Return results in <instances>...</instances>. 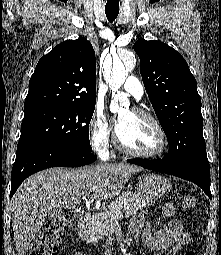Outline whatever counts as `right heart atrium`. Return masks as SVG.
I'll return each mask as SVG.
<instances>
[{"label": "right heart atrium", "mask_w": 221, "mask_h": 255, "mask_svg": "<svg viewBox=\"0 0 221 255\" xmlns=\"http://www.w3.org/2000/svg\"><path fill=\"white\" fill-rule=\"evenodd\" d=\"M88 131L92 148L99 155H105L112 135V127L102 109L96 108L94 110L89 122Z\"/></svg>", "instance_id": "1"}]
</instances>
